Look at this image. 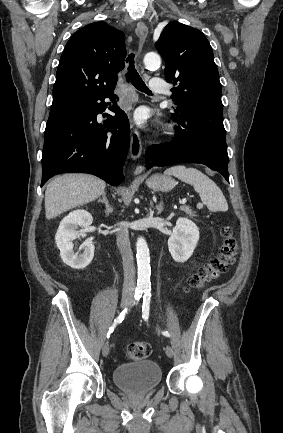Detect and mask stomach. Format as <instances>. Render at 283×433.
I'll return each mask as SVG.
<instances>
[{"mask_svg": "<svg viewBox=\"0 0 283 433\" xmlns=\"http://www.w3.org/2000/svg\"><path fill=\"white\" fill-rule=\"evenodd\" d=\"M146 184L149 188H153V190L168 192V190L174 188L175 180L171 176H166V174H152V176L147 178Z\"/></svg>", "mask_w": 283, "mask_h": 433, "instance_id": "1", "label": "stomach"}]
</instances>
